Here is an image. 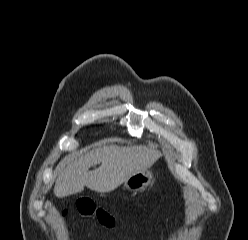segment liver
Segmentation results:
<instances>
[{
	"mask_svg": "<svg viewBox=\"0 0 248 240\" xmlns=\"http://www.w3.org/2000/svg\"><path fill=\"white\" fill-rule=\"evenodd\" d=\"M161 153L146 146H104L81 157L66 156L57 166L58 178L54 194L63 198L88 189L107 193L113 191L137 172L148 169ZM97 169L89 171L93 165Z\"/></svg>",
	"mask_w": 248,
	"mask_h": 240,
	"instance_id": "obj_1",
	"label": "liver"
}]
</instances>
